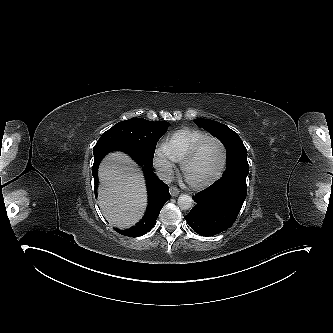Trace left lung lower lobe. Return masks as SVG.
<instances>
[{"label": "left lung lower lobe", "instance_id": "left-lung-lower-lobe-1", "mask_svg": "<svg viewBox=\"0 0 333 333\" xmlns=\"http://www.w3.org/2000/svg\"><path fill=\"white\" fill-rule=\"evenodd\" d=\"M246 194V181L225 182L219 179L206 190L193 196L197 204L184 218L198 234L216 235L235 222Z\"/></svg>", "mask_w": 333, "mask_h": 333}]
</instances>
